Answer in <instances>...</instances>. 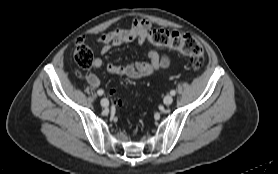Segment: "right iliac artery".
<instances>
[{"label":"right iliac artery","instance_id":"1","mask_svg":"<svg viewBox=\"0 0 278 174\" xmlns=\"http://www.w3.org/2000/svg\"><path fill=\"white\" fill-rule=\"evenodd\" d=\"M97 94H98L99 96H102V95L104 94V91H103L102 89H99V90L97 91Z\"/></svg>","mask_w":278,"mask_h":174}]
</instances>
